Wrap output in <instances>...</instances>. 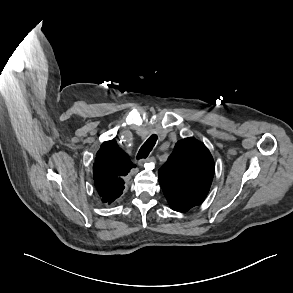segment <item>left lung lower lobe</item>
<instances>
[{"mask_svg": "<svg viewBox=\"0 0 293 293\" xmlns=\"http://www.w3.org/2000/svg\"><path fill=\"white\" fill-rule=\"evenodd\" d=\"M173 210L178 211V212H185L182 209L176 208V207H171Z\"/></svg>", "mask_w": 293, "mask_h": 293, "instance_id": "1", "label": "left lung lower lobe"}]
</instances>
